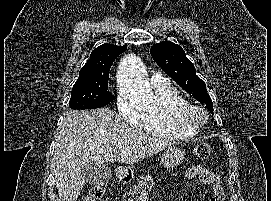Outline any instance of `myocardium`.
I'll use <instances>...</instances> for the list:
<instances>
[{
  "label": "myocardium",
  "instance_id": "myocardium-1",
  "mask_svg": "<svg viewBox=\"0 0 271 201\" xmlns=\"http://www.w3.org/2000/svg\"><path fill=\"white\" fill-rule=\"evenodd\" d=\"M172 113L176 119L183 124L197 129L203 127L209 119L208 112L205 108L196 103L186 101L175 105L172 109Z\"/></svg>",
  "mask_w": 271,
  "mask_h": 201
}]
</instances>
